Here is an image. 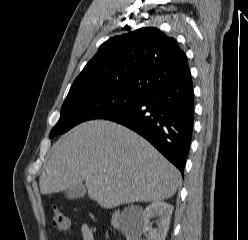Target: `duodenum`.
I'll return each mask as SVG.
<instances>
[{
  "mask_svg": "<svg viewBox=\"0 0 248 240\" xmlns=\"http://www.w3.org/2000/svg\"><path fill=\"white\" fill-rule=\"evenodd\" d=\"M113 226L117 229H122L123 228V221L121 219V214L120 212H115L113 215Z\"/></svg>",
  "mask_w": 248,
  "mask_h": 240,
  "instance_id": "obj_1",
  "label": "duodenum"
}]
</instances>
